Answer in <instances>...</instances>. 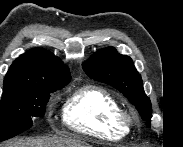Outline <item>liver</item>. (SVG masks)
I'll list each match as a JSON object with an SVG mask.
<instances>
[{
    "label": "liver",
    "mask_w": 183,
    "mask_h": 147,
    "mask_svg": "<svg viewBox=\"0 0 183 147\" xmlns=\"http://www.w3.org/2000/svg\"><path fill=\"white\" fill-rule=\"evenodd\" d=\"M4 147H92L88 143L75 137L65 138H38V139H19L11 141Z\"/></svg>",
    "instance_id": "obj_1"
}]
</instances>
